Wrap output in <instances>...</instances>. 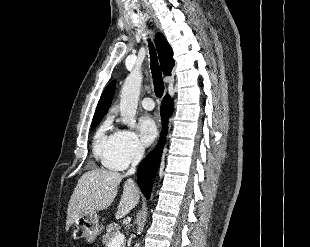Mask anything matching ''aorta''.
I'll use <instances>...</instances> for the list:
<instances>
[{
    "instance_id": "aorta-1",
    "label": "aorta",
    "mask_w": 310,
    "mask_h": 247,
    "mask_svg": "<svg viewBox=\"0 0 310 247\" xmlns=\"http://www.w3.org/2000/svg\"><path fill=\"white\" fill-rule=\"evenodd\" d=\"M142 73L139 70H133L125 79L121 89L120 99V120L123 124L130 128L136 126V112L140 89L142 84ZM140 243H136L134 247H139Z\"/></svg>"
}]
</instances>
